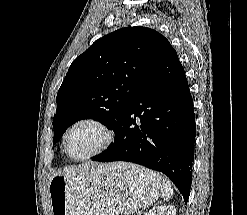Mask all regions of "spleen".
Returning <instances> with one entry per match:
<instances>
[{
	"instance_id": "spleen-1",
	"label": "spleen",
	"mask_w": 247,
	"mask_h": 215,
	"mask_svg": "<svg viewBox=\"0 0 247 215\" xmlns=\"http://www.w3.org/2000/svg\"><path fill=\"white\" fill-rule=\"evenodd\" d=\"M161 191H162V197L166 201L170 200L171 197L173 196V189L171 187L170 182L167 179L162 180Z\"/></svg>"
}]
</instances>
